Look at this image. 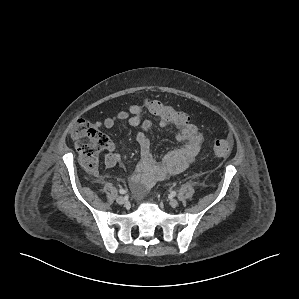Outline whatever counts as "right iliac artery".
Returning <instances> with one entry per match:
<instances>
[{
  "label": "right iliac artery",
  "instance_id": "1",
  "mask_svg": "<svg viewBox=\"0 0 299 299\" xmlns=\"http://www.w3.org/2000/svg\"><path fill=\"white\" fill-rule=\"evenodd\" d=\"M119 193H120V194H125V193H126V190H124V189H120V190H119Z\"/></svg>",
  "mask_w": 299,
  "mask_h": 299
}]
</instances>
